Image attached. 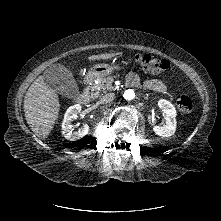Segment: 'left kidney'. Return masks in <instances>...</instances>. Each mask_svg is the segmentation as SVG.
<instances>
[{"mask_svg": "<svg viewBox=\"0 0 221 221\" xmlns=\"http://www.w3.org/2000/svg\"><path fill=\"white\" fill-rule=\"evenodd\" d=\"M158 105L163 109V112L166 115V123L163 126L154 125L153 131L159 136L170 137L176 130V110L169 101L164 99L159 100Z\"/></svg>", "mask_w": 221, "mask_h": 221, "instance_id": "left-kidney-1", "label": "left kidney"}]
</instances>
